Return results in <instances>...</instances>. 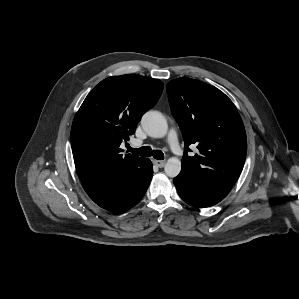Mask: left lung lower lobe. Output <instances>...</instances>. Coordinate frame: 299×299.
Here are the masks:
<instances>
[{
  "instance_id": "0a47b994",
  "label": "left lung lower lobe",
  "mask_w": 299,
  "mask_h": 299,
  "mask_svg": "<svg viewBox=\"0 0 299 299\" xmlns=\"http://www.w3.org/2000/svg\"><path fill=\"white\" fill-rule=\"evenodd\" d=\"M173 182L179 196L189 205L198 208L215 205L229 193V191L222 188L190 178L181 172L174 178Z\"/></svg>"
}]
</instances>
